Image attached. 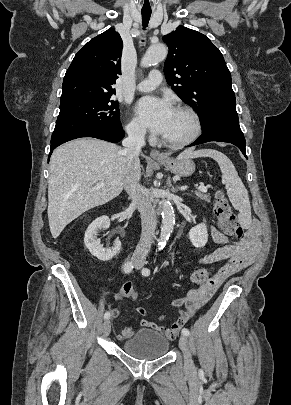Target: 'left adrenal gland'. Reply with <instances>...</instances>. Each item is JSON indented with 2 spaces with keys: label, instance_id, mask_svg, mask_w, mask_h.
I'll return each mask as SVG.
<instances>
[{
  "label": "left adrenal gland",
  "instance_id": "1",
  "mask_svg": "<svg viewBox=\"0 0 291 405\" xmlns=\"http://www.w3.org/2000/svg\"><path fill=\"white\" fill-rule=\"evenodd\" d=\"M167 184H168V186L170 187V190H171L172 192L176 193V192L178 191V188H175L174 186H172L170 179H168Z\"/></svg>",
  "mask_w": 291,
  "mask_h": 405
}]
</instances>
